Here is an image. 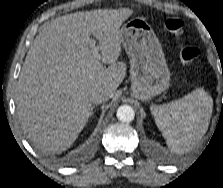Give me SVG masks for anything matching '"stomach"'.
I'll return each mask as SVG.
<instances>
[{
    "label": "stomach",
    "mask_w": 223,
    "mask_h": 188,
    "mask_svg": "<svg viewBox=\"0 0 223 188\" xmlns=\"http://www.w3.org/2000/svg\"><path fill=\"white\" fill-rule=\"evenodd\" d=\"M121 42L130 57L131 95L142 101L169 87L170 72L162 46L149 23L134 18L120 28Z\"/></svg>",
    "instance_id": "1"
}]
</instances>
